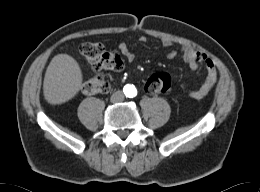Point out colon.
I'll return each instance as SVG.
<instances>
[{
	"mask_svg": "<svg viewBox=\"0 0 260 192\" xmlns=\"http://www.w3.org/2000/svg\"><path fill=\"white\" fill-rule=\"evenodd\" d=\"M80 53L94 71L123 69L124 63L122 58L116 54L105 50L99 42H86L80 45ZM172 79L168 73H154L145 84V91L151 95L166 94L170 92ZM86 94H103L109 91L110 85L107 80L99 75L84 81L82 86Z\"/></svg>",
	"mask_w": 260,
	"mask_h": 192,
	"instance_id": "1",
	"label": "colon"
}]
</instances>
